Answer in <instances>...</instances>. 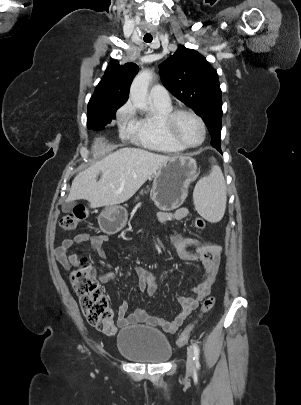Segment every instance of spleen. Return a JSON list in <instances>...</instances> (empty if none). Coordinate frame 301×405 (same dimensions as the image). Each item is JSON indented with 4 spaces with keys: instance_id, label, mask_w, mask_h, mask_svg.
Returning a JSON list of instances; mask_svg holds the SVG:
<instances>
[{
    "instance_id": "1",
    "label": "spleen",
    "mask_w": 301,
    "mask_h": 405,
    "mask_svg": "<svg viewBox=\"0 0 301 405\" xmlns=\"http://www.w3.org/2000/svg\"><path fill=\"white\" fill-rule=\"evenodd\" d=\"M194 200L201 216L211 222L220 221L226 208V186L221 169L215 166L194 190Z\"/></svg>"
}]
</instances>
